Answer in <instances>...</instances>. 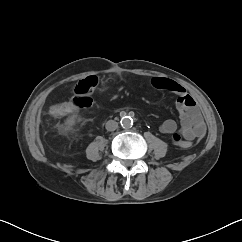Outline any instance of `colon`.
<instances>
[{"mask_svg":"<svg viewBox=\"0 0 242 242\" xmlns=\"http://www.w3.org/2000/svg\"><path fill=\"white\" fill-rule=\"evenodd\" d=\"M97 79H90L74 89V97L70 100L77 108H89L92 104L91 93L97 86ZM69 101L57 103L51 107V113L62 116Z\"/></svg>","mask_w":242,"mask_h":242,"instance_id":"colon-1","label":"colon"}]
</instances>
